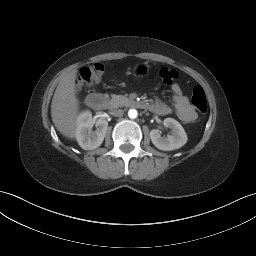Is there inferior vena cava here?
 I'll list each match as a JSON object with an SVG mask.
<instances>
[{
    "label": "inferior vena cava",
    "instance_id": "inferior-vena-cava-1",
    "mask_svg": "<svg viewBox=\"0 0 256 256\" xmlns=\"http://www.w3.org/2000/svg\"><path fill=\"white\" fill-rule=\"evenodd\" d=\"M111 115L119 117L122 116L124 114V111L121 109H113L111 112Z\"/></svg>",
    "mask_w": 256,
    "mask_h": 256
}]
</instances>
